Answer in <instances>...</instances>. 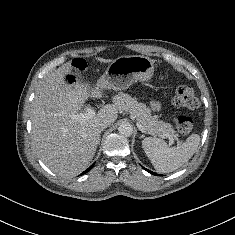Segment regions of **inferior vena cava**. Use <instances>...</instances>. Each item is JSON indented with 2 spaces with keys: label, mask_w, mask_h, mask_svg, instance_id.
Masks as SVG:
<instances>
[{
  "label": "inferior vena cava",
  "mask_w": 235,
  "mask_h": 235,
  "mask_svg": "<svg viewBox=\"0 0 235 235\" xmlns=\"http://www.w3.org/2000/svg\"><path fill=\"white\" fill-rule=\"evenodd\" d=\"M110 124H111L110 120L104 119L99 122L98 127H99V129H104V128H107Z\"/></svg>",
  "instance_id": "obj_1"
}]
</instances>
